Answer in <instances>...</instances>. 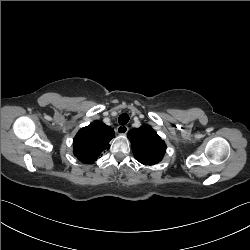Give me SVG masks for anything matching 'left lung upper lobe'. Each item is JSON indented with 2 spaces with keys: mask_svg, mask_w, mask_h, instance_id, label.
Instances as JSON below:
<instances>
[{
  "mask_svg": "<svg viewBox=\"0 0 250 250\" xmlns=\"http://www.w3.org/2000/svg\"><path fill=\"white\" fill-rule=\"evenodd\" d=\"M135 158L144 165L160 162L165 154V142L147 125L131 129L128 132Z\"/></svg>",
  "mask_w": 250,
  "mask_h": 250,
  "instance_id": "obj_1",
  "label": "left lung upper lobe"
}]
</instances>
